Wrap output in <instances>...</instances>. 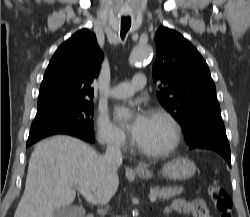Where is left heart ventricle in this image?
Wrapping results in <instances>:
<instances>
[{
	"mask_svg": "<svg viewBox=\"0 0 250 217\" xmlns=\"http://www.w3.org/2000/svg\"><path fill=\"white\" fill-rule=\"evenodd\" d=\"M170 138L169 125L160 117L152 114L141 139L137 143L149 150H159L168 145Z\"/></svg>",
	"mask_w": 250,
	"mask_h": 217,
	"instance_id": "left-heart-ventricle-1",
	"label": "left heart ventricle"
}]
</instances>
